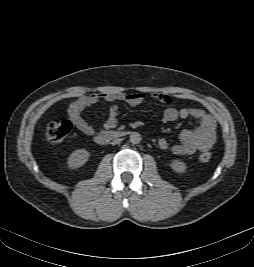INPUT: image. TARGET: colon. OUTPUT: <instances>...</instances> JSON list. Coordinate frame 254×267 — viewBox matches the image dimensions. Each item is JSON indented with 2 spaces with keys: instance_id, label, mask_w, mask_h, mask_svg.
I'll return each mask as SVG.
<instances>
[{
  "instance_id": "colon-1",
  "label": "colon",
  "mask_w": 254,
  "mask_h": 267,
  "mask_svg": "<svg viewBox=\"0 0 254 267\" xmlns=\"http://www.w3.org/2000/svg\"><path fill=\"white\" fill-rule=\"evenodd\" d=\"M71 129L72 125L67 120L50 123L46 128V139L51 143H59L67 137ZM199 160L202 163L209 162L211 160V153L203 152L199 156Z\"/></svg>"
}]
</instances>
